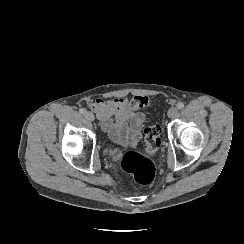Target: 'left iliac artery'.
<instances>
[{
    "label": "left iliac artery",
    "mask_w": 244,
    "mask_h": 244,
    "mask_svg": "<svg viewBox=\"0 0 244 244\" xmlns=\"http://www.w3.org/2000/svg\"><path fill=\"white\" fill-rule=\"evenodd\" d=\"M177 108H178V109H182V108H184V103H182V102L178 103V104H177Z\"/></svg>",
    "instance_id": "1"
}]
</instances>
